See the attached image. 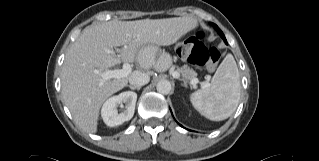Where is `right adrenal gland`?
<instances>
[{
	"label": "right adrenal gland",
	"mask_w": 319,
	"mask_h": 161,
	"mask_svg": "<svg viewBox=\"0 0 319 161\" xmlns=\"http://www.w3.org/2000/svg\"><path fill=\"white\" fill-rule=\"evenodd\" d=\"M128 87L132 90H140L141 87H135V86H132V85H128Z\"/></svg>",
	"instance_id": "right-adrenal-gland-1"
}]
</instances>
